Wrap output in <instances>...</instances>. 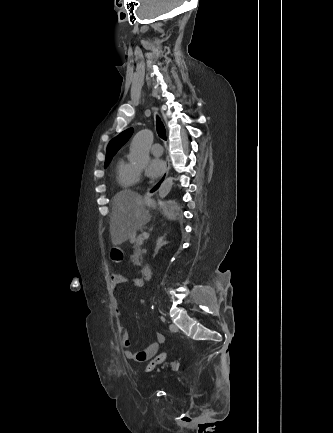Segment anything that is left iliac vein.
<instances>
[{"mask_svg":"<svg viewBox=\"0 0 333 433\" xmlns=\"http://www.w3.org/2000/svg\"><path fill=\"white\" fill-rule=\"evenodd\" d=\"M169 329H170L172 332H177V331H178L177 326H176L175 324H173V323L169 325Z\"/></svg>","mask_w":333,"mask_h":433,"instance_id":"obj_1","label":"left iliac vein"}]
</instances>
